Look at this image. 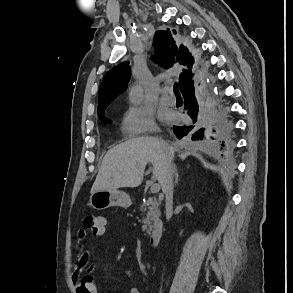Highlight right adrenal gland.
<instances>
[{
    "label": "right adrenal gland",
    "instance_id": "1",
    "mask_svg": "<svg viewBox=\"0 0 293 293\" xmlns=\"http://www.w3.org/2000/svg\"><path fill=\"white\" fill-rule=\"evenodd\" d=\"M174 176H175V184H177L179 175H178L177 168L175 166H174Z\"/></svg>",
    "mask_w": 293,
    "mask_h": 293
}]
</instances>
